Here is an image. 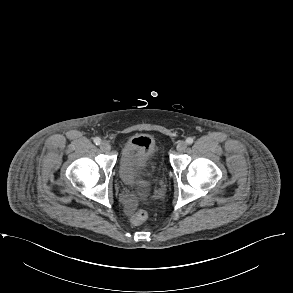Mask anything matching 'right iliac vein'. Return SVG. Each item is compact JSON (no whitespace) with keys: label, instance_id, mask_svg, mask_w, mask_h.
I'll use <instances>...</instances> for the list:
<instances>
[{"label":"right iliac vein","instance_id":"obj_1","mask_svg":"<svg viewBox=\"0 0 293 293\" xmlns=\"http://www.w3.org/2000/svg\"><path fill=\"white\" fill-rule=\"evenodd\" d=\"M100 148H101V150L108 152L111 149V145L108 141H102L100 144Z\"/></svg>","mask_w":293,"mask_h":293}]
</instances>
